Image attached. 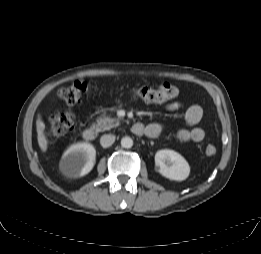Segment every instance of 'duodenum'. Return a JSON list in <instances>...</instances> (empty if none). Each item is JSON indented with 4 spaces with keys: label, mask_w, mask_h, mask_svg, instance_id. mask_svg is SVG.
I'll return each mask as SVG.
<instances>
[{
    "label": "duodenum",
    "mask_w": 261,
    "mask_h": 254,
    "mask_svg": "<svg viewBox=\"0 0 261 254\" xmlns=\"http://www.w3.org/2000/svg\"><path fill=\"white\" fill-rule=\"evenodd\" d=\"M142 131H143V128L138 125V124H135L133 126V132L136 134H142ZM96 131L94 128H91V127H87L85 128L83 131H82V136L83 138L86 140V141H93L95 140L96 138Z\"/></svg>",
    "instance_id": "obj_1"
}]
</instances>
